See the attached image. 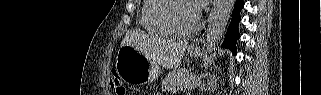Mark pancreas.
<instances>
[{
  "mask_svg": "<svg viewBox=\"0 0 321 95\" xmlns=\"http://www.w3.org/2000/svg\"><path fill=\"white\" fill-rule=\"evenodd\" d=\"M197 80L186 70L173 71L162 81V89L179 90L196 86Z\"/></svg>",
  "mask_w": 321,
  "mask_h": 95,
  "instance_id": "cf45deb5",
  "label": "pancreas"
}]
</instances>
